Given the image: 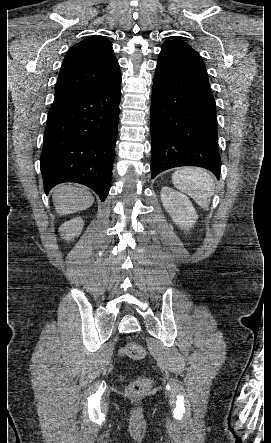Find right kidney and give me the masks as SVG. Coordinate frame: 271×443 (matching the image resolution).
Instances as JSON below:
<instances>
[{"label": "right kidney", "mask_w": 271, "mask_h": 443, "mask_svg": "<svg viewBox=\"0 0 271 443\" xmlns=\"http://www.w3.org/2000/svg\"><path fill=\"white\" fill-rule=\"evenodd\" d=\"M83 225L82 218H73L70 222L62 223L59 227L60 235H63L64 239H72L74 235H80Z\"/></svg>", "instance_id": "right-kidney-1"}]
</instances>
